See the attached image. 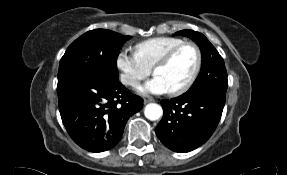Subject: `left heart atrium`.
Returning a JSON list of instances; mask_svg holds the SVG:
<instances>
[{"label": "left heart atrium", "mask_w": 287, "mask_h": 175, "mask_svg": "<svg viewBox=\"0 0 287 175\" xmlns=\"http://www.w3.org/2000/svg\"><path fill=\"white\" fill-rule=\"evenodd\" d=\"M141 93L164 94L169 92L168 86L159 76H154L147 81L143 86L138 88Z\"/></svg>", "instance_id": "1"}]
</instances>
